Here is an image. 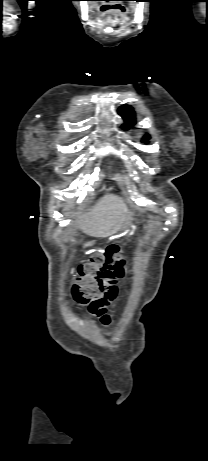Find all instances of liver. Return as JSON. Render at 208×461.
I'll return each mask as SVG.
<instances>
[{"instance_id":"liver-1","label":"liver","mask_w":208,"mask_h":461,"mask_svg":"<svg viewBox=\"0 0 208 461\" xmlns=\"http://www.w3.org/2000/svg\"><path fill=\"white\" fill-rule=\"evenodd\" d=\"M127 206L115 195H105L89 213H77L76 224L84 233L94 237H108L125 224Z\"/></svg>"}]
</instances>
